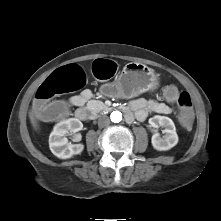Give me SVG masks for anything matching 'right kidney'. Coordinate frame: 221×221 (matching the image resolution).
Returning <instances> with one entry per match:
<instances>
[{
    "instance_id": "1",
    "label": "right kidney",
    "mask_w": 221,
    "mask_h": 221,
    "mask_svg": "<svg viewBox=\"0 0 221 221\" xmlns=\"http://www.w3.org/2000/svg\"><path fill=\"white\" fill-rule=\"evenodd\" d=\"M82 128L83 124L77 118H70L57 123L49 136L51 152L61 159L71 158L74 155L80 154L84 149V145L80 143L71 144L65 136L68 133L75 134L82 130Z\"/></svg>"
}]
</instances>
